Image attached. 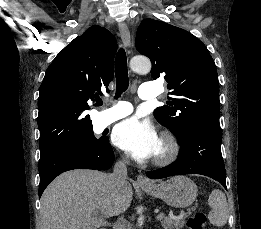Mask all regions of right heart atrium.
<instances>
[{
	"instance_id": "right-heart-atrium-1",
	"label": "right heart atrium",
	"mask_w": 261,
	"mask_h": 229,
	"mask_svg": "<svg viewBox=\"0 0 261 229\" xmlns=\"http://www.w3.org/2000/svg\"><path fill=\"white\" fill-rule=\"evenodd\" d=\"M122 160H123L124 162L128 163L129 160H130L129 154H128V153H124L123 156H122Z\"/></svg>"
}]
</instances>
